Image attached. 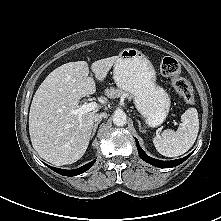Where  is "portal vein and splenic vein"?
<instances>
[{"label":"portal vein and splenic vein","instance_id":"18ae733b","mask_svg":"<svg viewBox=\"0 0 221 221\" xmlns=\"http://www.w3.org/2000/svg\"><path fill=\"white\" fill-rule=\"evenodd\" d=\"M100 105L96 102L84 103L77 109L71 110V114L82 116L84 113L99 109Z\"/></svg>","mask_w":221,"mask_h":221}]
</instances>
